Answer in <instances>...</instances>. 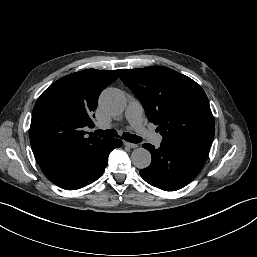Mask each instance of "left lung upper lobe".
<instances>
[{"instance_id":"5c2ea615","label":"left lung upper lobe","mask_w":257,"mask_h":257,"mask_svg":"<svg viewBox=\"0 0 257 257\" xmlns=\"http://www.w3.org/2000/svg\"><path fill=\"white\" fill-rule=\"evenodd\" d=\"M120 78L140 100L148 120L158 125L162 141H213L214 117L195 81L165 67L122 69Z\"/></svg>"}]
</instances>
